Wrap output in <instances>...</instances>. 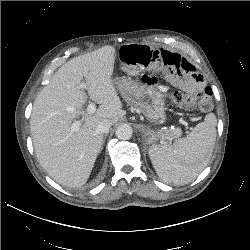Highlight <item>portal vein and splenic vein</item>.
Instances as JSON below:
<instances>
[{"label":"portal vein and splenic vein","instance_id":"portal-vein-and-splenic-vein-1","mask_svg":"<svg viewBox=\"0 0 250 250\" xmlns=\"http://www.w3.org/2000/svg\"><path fill=\"white\" fill-rule=\"evenodd\" d=\"M81 87L86 88L85 83H82V84H81ZM95 110H96V105H95L94 103H92V102L89 103V105L87 106V113H88V114H93V113L95 112ZM80 126H81V122H80V121H75V122L71 125V129H72L73 131H77V130H79Z\"/></svg>","mask_w":250,"mask_h":250}]
</instances>
